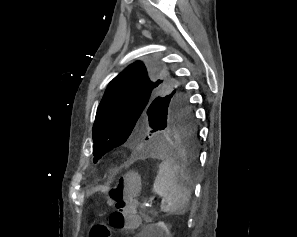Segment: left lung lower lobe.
<instances>
[{"instance_id": "left-lung-lower-lobe-1", "label": "left lung lower lobe", "mask_w": 297, "mask_h": 237, "mask_svg": "<svg viewBox=\"0 0 297 237\" xmlns=\"http://www.w3.org/2000/svg\"><path fill=\"white\" fill-rule=\"evenodd\" d=\"M138 157L167 156L193 170L198 161L199 135L190 104L178 103Z\"/></svg>"}]
</instances>
